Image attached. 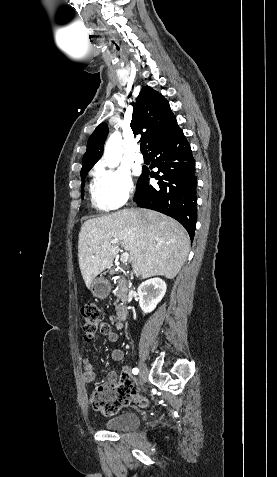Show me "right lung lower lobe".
<instances>
[{"mask_svg": "<svg viewBox=\"0 0 277 477\" xmlns=\"http://www.w3.org/2000/svg\"><path fill=\"white\" fill-rule=\"evenodd\" d=\"M153 167L157 172L143 169L134 200L139 207L159 211L179 221L191 241L196 228V176L190 144L178 128L168 138L150 149ZM149 177L158 186L149 184Z\"/></svg>", "mask_w": 277, "mask_h": 477, "instance_id": "obj_1", "label": "right lung lower lobe"}]
</instances>
